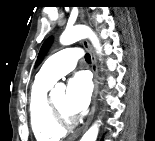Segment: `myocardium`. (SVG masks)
I'll list each match as a JSON object with an SVG mask.
<instances>
[{"mask_svg":"<svg viewBox=\"0 0 155 141\" xmlns=\"http://www.w3.org/2000/svg\"><path fill=\"white\" fill-rule=\"evenodd\" d=\"M47 105L50 118L59 129L66 130L74 126L76 119L71 115H65L59 111L51 96L47 97Z\"/></svg>","mask_w":155,"mask_h":141,"instance_id":"f54148a6","label":"myocardium"}]
</instances>
